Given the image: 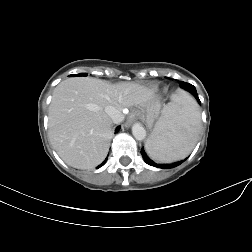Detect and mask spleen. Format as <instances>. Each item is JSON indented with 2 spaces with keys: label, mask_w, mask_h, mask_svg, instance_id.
<instances>
[{
  "label": "spleen",
  "mask_w": 252,
  "mask_h": 252,
  "mask_svg": "<svg viewBox=\"0 0 252 252\" xmlns=\"http://www.w3.org/2000/svg\"><path fill=\"white\" fill-rule=\"evenodd\" d=\"M200 130V112L195 100L184 92L172 96L145 147L161 163L185 158L194 148Z\"/></svg>",
  "instance_id": "spleen-1"
}]
</instances>
